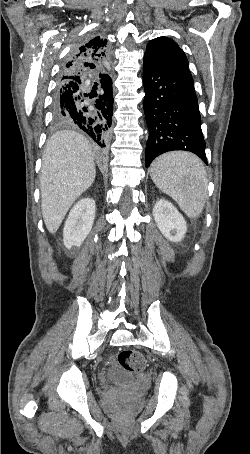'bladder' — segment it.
I'll list each match as a JSON object with an SVG mask.
<instances>
[{"label": "bladder", "mask_w": 250, "mask_h": 454, "mask_svg": "<svg viewBox=\"0 0 250 454\" xmlns=\"http://www.w3.org/2000/svg\"><path fill=\"white\" fill-rule=\"evenodd\" d=\"M108 378L115 384L132 382L135 377L127 374L123 369L111 367L108 371Z\"/></svg>", "instance_id": "31cf9c89"}]
</instances>
